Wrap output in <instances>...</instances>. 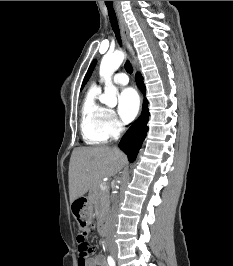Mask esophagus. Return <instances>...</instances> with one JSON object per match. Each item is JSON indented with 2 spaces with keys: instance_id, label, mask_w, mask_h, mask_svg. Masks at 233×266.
Listing matches in <instances>:
<instances>
[{
  "instance_id": "obj_1",
  "label": "esophagus",
  "mask_w": 233,
  "mask_h": 266,
  "mask_svg": "<svg viewBox=\"0 0 233 266\" xmlns=\"http://www.w3.org/2000/svg\"><path fill=\"white\" fill-rule=\"evenodd\" d=\"M115 7H116V13H117V17H118V21H119V25H120V29H121V33H122V37H123L125 46H126V48L128 50L129 58L133 62L134 59H135V52H134V49L132 47V42H131V38L129 36L128 28H127V25H126L125 20L123 18V14L121 12L120 6H119V4L117 2L115 4Z\"/></svg>"
}]
</instances>
